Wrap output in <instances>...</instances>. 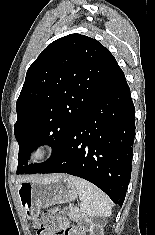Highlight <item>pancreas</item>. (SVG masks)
<instances>
[{
    "mask_svg": "<svg viewBox=\"0 0 155 235\" xmlns=\"http://www.w3.org/2000/svg\"><path fill=\"white\" fill-rule=\"evenodd\" d=\"M68 215L72 219H77L79 217V213L75 209H70Z\"/></svg>",
    "mask_w": 155,
    "mask_h": 235,
    "instance_id": "1",
    "label": "pancreas"
}]
</instances>
